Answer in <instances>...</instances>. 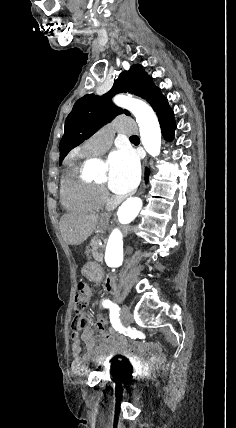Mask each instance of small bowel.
I'll return each mask as SVG.
<instances>
[{"mask_svg": "<svg viewBox=\"0 0 236 428\" xmlns=\"http://www.w3.org/2000/svg\"><path fill=\"white\" fill-rule=\"evenodd\" d=\"M116 289V282L106 281V291L112 293ZM83 320L82 332L71 333L72 351L76 362L119 358L139 369L163 362L164 356L155 343L131 342L124 336L107 332L104 327H98L89 318L85 317ZM82 343L85 345V351H82Z\"/></svg>", "mask_w": 236, "mask_h": 428, "instance_id": "1", "label": "small bowel"}]
</instances>
